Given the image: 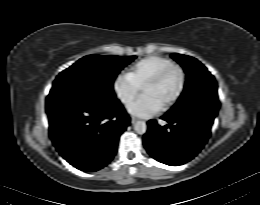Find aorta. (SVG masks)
<instances>
[{
	"label": "aorta",
	"instance_id": "obj_1",
	"mask_svg": "<svg viewBox=\"0 0 260 205\" xmlns=\"http://www.w3.org/2000/svg\"><path fill=\"white\" fill-rule=\"evenodd\" d=\"M134 130L138 133V134H144L147 130V126L146 123L144 121H137L134 124Z\"/></svg>",
	"mask_w": 260,
	"mask_h": 205
}]
</instances>
